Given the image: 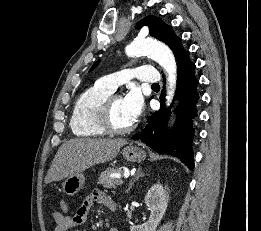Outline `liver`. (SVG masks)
<instances>
[{
	"label": "liver",
	"mask_w": 261,
	"mask_h": 231,
	"mask_svg": "<svg viewBox=\"0 0 261 231\" xmlns=\"http://www.w3.org/2000/svg\"><path fill=\"white\" fill-rule=\"evenodd\" d=\"M124 139L76 138L66 141L58 149L45 177V183L60 181L91 166L115 158Z\"/></svg>",
	"instance_id": "1"
}]
</instances>
